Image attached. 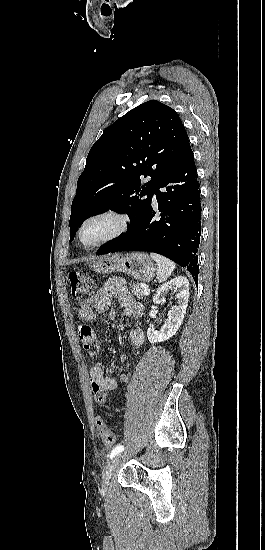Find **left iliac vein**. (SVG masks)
<instances>
[{"label": "left iliac vein", "instance_id": "4c4485c4", "mask_svg": "<svg viewBox=\"0 0 265 550\" xmlns=\"http://www.w3.org/2000/svg\"><path fill=\"white\" fill-rule=\"evenodd\" d=\"M124 456H125L124 454H117L116 456H114V458L108 463L106 468L103 470L102 481L104 485L109 484L115 468L119 465L121 459L124 458Z\"/></svg>", "mask_w": 265, "mask_h": 550}]
</instances>
